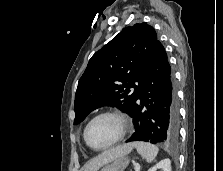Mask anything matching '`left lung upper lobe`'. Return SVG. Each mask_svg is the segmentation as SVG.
I'll use <instances>...</instances> for the list:
<instances>
[{
  "label": "left lung upper lobe",
  "instance_id": "1",
  "mask_svg": "<svg viewBox=\"0 0 223 171\" xmlns=\"http://www.w3.org/2000/svg\"><path fill=\"white\" fill-rule=\"evenodd\" d=\"M158 43L154 28L143 22L126 27L97 51L78 82L74 124L105 105L116 106L131 116Z\"/></svg>",
  "mask_w": 223,
  "mask_h": 171
}]
</instances>
